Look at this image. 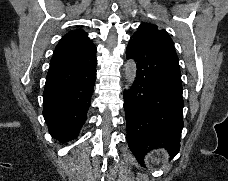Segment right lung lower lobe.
<instances>
[{"label": "right lung lower lobe", "instance_id": "right-lung-lower-lobe-1", "mask_svg": "<svg viewBox=\"0 0 228 181\" xmlns=\"http://www.w3.org/2000/svg\"><path fill=\"white\" fill-rule=\"evenodd\" d=\"M96 47L51 61L43 93V116L60 142L78 136L86 120L96 79Z\"/></svg>", "mask_w": 228, "mask_h": 181}]
</instances>
